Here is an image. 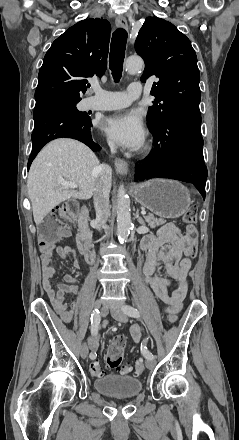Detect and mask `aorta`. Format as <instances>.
I'll use <instances>...</instances> for the list:
<instances>
[{"label": "aorta", "mask_w": 239, "mask_h": 440, "mask_svg": "<svg viewBox=\"0 0 239 440\" xmlns=\"http://www.w3.org/2000/svg\"><path fill=\"white\" fill-rule=\"evenodd\" d=\"M144 62L138 56H131L128 58L126 62V70H128L129 74H135L138 70L143 68ZM117 236L120 242H124L126 240L130 226H131V210H130V202L129 198L126 194V190L121 184L119 186L118 194H117Z\"/></svg>", "instance_id": "762f6f07"}]
</instances>
